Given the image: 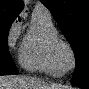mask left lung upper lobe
Instances as JSON below:
<instances>
[{"mask_svg": "<svg viewBox=\"0 0 89 89\" xmlns=\"http://www.w3.org/2000/svg\"><path fill=\"white\" fill-rule=\"evenodd\" d=\"M69 41L76 59L71 80L89 86V0H41Z\"/></svg>", "mask_w": 89, "mask_h": 89, "instance_id": "1", "label": "left lung upper lobe"}]
</instances>
